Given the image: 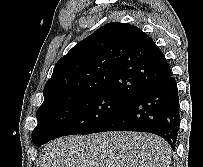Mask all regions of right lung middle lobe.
I'll list each match as a JSON object with an SVG mask.
<instances>
[{"mask_svg":"<svg viewBox=\"0 0 203 167\" xmlns=\"http://www.w3.org/2000/svg\"><path fill=\"white\" fill-rule=\"evenodd\" d=\"M129 99L110 93L75 97L37 111L33 141L40 147L67 135L91 134L117 113Z\"/></svg>","mask_w":203,"mask_h":167,"instance_id":"dd1d6c3e","label":"right lung middle lobe"}]
</instances>
